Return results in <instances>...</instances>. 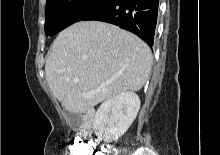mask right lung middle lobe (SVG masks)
Returning a JSON list of instances; mask_svg holds the SVG:
<instances>
[{"label": "right lung middle lobe", "instance_id": "right-lung-middle-lobe-1", "mask_svg": "<svg viewBox=\"0 0 220 155\" xmlns=\"http://www.w3.org/2000/svg\"><path fill=\"white\" fill-rule=\"evenodd\" d=\"M114 0H52L46 3L45 33L52 36L67 26L84 20L93 15Z\"/></svg>", "mask_w": 220, "mask_h": 155}]
</instances>
